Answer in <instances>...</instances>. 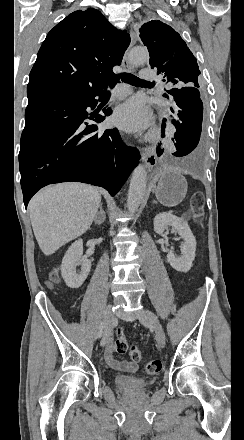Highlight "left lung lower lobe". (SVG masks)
<instances>
[{"label":"left lung lower lobe","instance_id":"obj_1","mask_svg":"<svg viewBox=\"0 0 244 440\" xmlns=\"http://www.w3.org/2000/svg\"><path fill=\"white\" fill-rule=\"evenodd\" d=\"M199 87H182L167 90L173 107L172 123L175 125L176 132L174 138L176 152L174 156L181 157L192 152L198 145L202 130L203 103L200 98ZM168 98V95L164 94ZM166 119L163 120L162 137ZM159 155V153H158Z\"/></svg>","mask_w":244,"mask_h":440}]
</instances>
